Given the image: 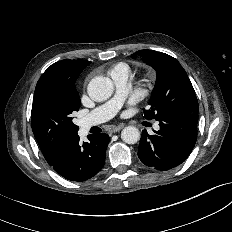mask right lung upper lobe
Instances as JSON below:
<instances>
[{
  "mask_svg": "<svg viewBox=\"0 0 232 232\" xmlns=\"http://www.w3.org/2000/svg\"><path fill=\"white\" fill-rule=\"evenodd\" d=\"M89 64L90 62L85 60H62L48 67L47 70L43 73V76L45 75L61 76V75L69 74L74 70L84 69ZM65 142L59 144L54 148H50V149L41 148V151L49 165L54 163L58 152L60 151L62 145Z\"/></svg>",
  "mask_w": 232,
  "mask_h": 232,
  "instance_id": "cb5924a9",
  "label": "right lung upper lobe"
}]
</instances>
